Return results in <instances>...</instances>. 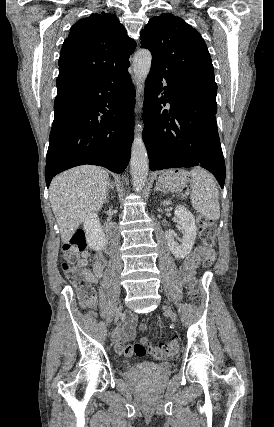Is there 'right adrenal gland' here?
<instances>
[{"instance_id": "right-adrenal-gland-1", "label": "right adrenal gland", "mask_w": 274, "mask_h": 427, "mask_svg": "<svg viewBox=\"0 0 274 427\" xmlns=\"http://www.w3.org/2000/svg\"><path fill=\"white\" fill-rule=\"evenodd\" d=\"M109 184H110V186H109L110 190H114V184H113V182H109Z\"/></svg>"}]
</instances>
